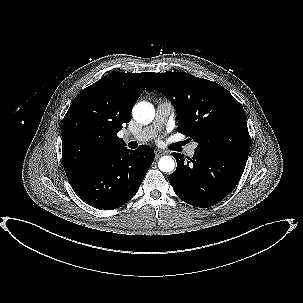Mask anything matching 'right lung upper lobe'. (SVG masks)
<instances>
[{
  "label": "right lung upper lobe",
  "instance_id": "cb5924a9",
  "mask_svg": "<svg viewBox=\"0 0 303 303\" xmlns=\"http://www.w3.org/2000/svg\"><path fill=\"white\" fill-rule=\"evenodd\" d=\"M153 72H112L83 89L62 122V160L67 177L126 148L117 136Z\"/></svg>",
  "mask_w": 303,
  "mask_h": 303
}]
</instances>
